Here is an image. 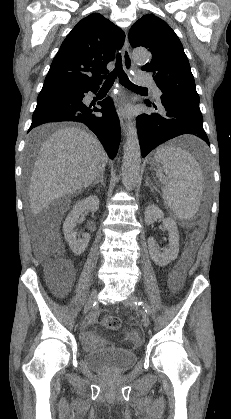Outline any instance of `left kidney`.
Segmentation results:
<instances>
[{
	"label": "left kidney",
	"mask_w": 231,
	"mask_h": 419,
	"mask_svg": "<svg viewBox=\"0 0 231 419\" xmlns=\"http://www.w3.org/2000/svg\"><path fill=\"white\" fill-rule=\"evenodd\" d=\"M161 219L164 228L169 233V247L161 252L157 247L155 240L150 237L148 239V249L151 259L159 266H165L175 260L179 253V231L176 222L172 218H164L162 210L154 205H148L145 209V223L153 224Z\"/></svg>",
	"instance_id": "5707ae66"
}]
</instances>
